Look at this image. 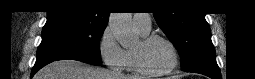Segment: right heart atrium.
<instances>
[{"mask_svg": "<svg viewBox=\"0 0 255 79\" xmlns=\"http://www.w3.org/2000/svg\"><path fill=\"white\" fill-rule=\"evenodd\" d=\"M99 53L103 62L115 71L126 67V52L114 38L110 29H104L99 40Z\"/></svg>", "mask_w": 255, "mask_h": 79, "instance_id": "1", "label": "right heart atrium"}]
</instances>
